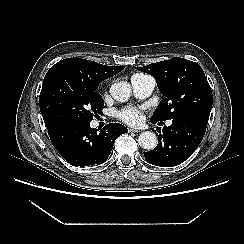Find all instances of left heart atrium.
Wrapping results in <instances>:
<instances>
[{
	"label": "left heart atrium",
	"mask_w": 244,
	"mask_h": 244,
	"mask_svg": "<svg viewBox=\"0 0 244 244\" xmlns=\"http://www.w3.org/2000/svg\"><path fill=\"white\" fill-rule=\"evenodd\" d=\"M117 117L126 124L139 125L143 120L142 112L135 107H127L117 113Z\"/></svg>",
	"instance_id": "1"
}]
</instances>
